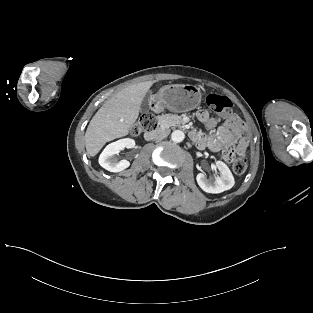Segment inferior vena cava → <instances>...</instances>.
<instances>
[{"mask_svg": "<svg viewBox=\"0 0 313 313\" xmlns=\"http://www.w3.org/2000/svg\"><path fill=\"white\" fill-rule=\"evenodd\" d=\"M169 135V130H163L154 135L155 140H162Z\"/></svg>", "mask_w": 313, "mask_h": 313, "instance_id": "1", "label": "inferior vena cava"}]
</instances>
